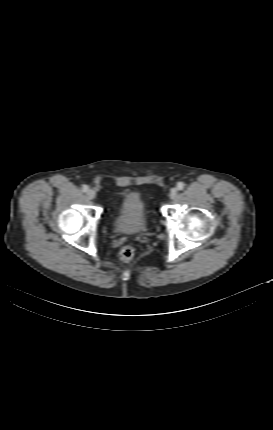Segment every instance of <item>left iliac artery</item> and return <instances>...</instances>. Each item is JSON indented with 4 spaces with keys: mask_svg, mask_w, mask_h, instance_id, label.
I'll return each mask as SVG.
<instances>
[{
    "mask_svg": "<svg viewBox=\"0 0 273 430\" xmlns=\"http://www.w3.org/2000/svg\"><path fill=\"white\" fill-rule=\"evenodd\" d=\"M184 187H185V183H184V182H179V183L177 184V189H178V190H183V189H184Z\"/></svg>",
    "mask_w": 273,
    "mask_h": 430,
    "instance_id": "1",
    "label": "left iliac artery"
}]
</instances>
